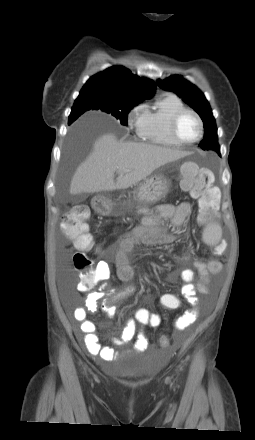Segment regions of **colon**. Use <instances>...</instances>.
I'll return each mask as SVG.
<instances>
[{
	"label": "colon",
	"mask_w": 255,
	"mask_h": 440,
	"mask_svg": "<svg viewBox=\"0 0 255 440\" xmlns=\"http://www.w3.org/2000/svg\"><path fill=\"white\" fill-rule=\"evenodd\" d=\"M213 181L214 175L209 168L188 163L181 170V188L189 191L190 195L198 200L203 216L212 215L218 209L219 193L213 188ZM89 216L88 207L76 205L66 213L61 222L63 233L77 249L72 261L74 269L81 273L78 283L80 290H87L96 283V267L93 268V261L85 253L93 246L88 224ZM160 303L164 311H179L182 306L180 298H161ZM158 342L161 352H170L173 341L167 334H160Z\"/></svg>",
	"instance_id": "colon-1"
}]
</instances>
